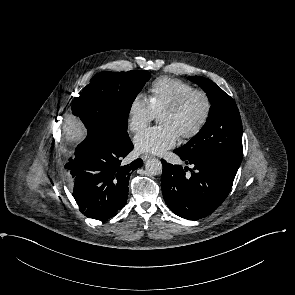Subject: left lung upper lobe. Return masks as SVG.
<instances>
[{
    "instance_id": "1",
    "label": "left lung upper lobe",
    "mask_w": 295,
    "mask_h": 295,
    "mask_svg": "<svg viewBox=\"0 0 295 295\" xmlns=\"http://www.w3.org/2000/svg\"><path fill=\"white\" fill-rule=\"evenodd\" d=\"M211 102L205 125L187 144L176 149L183 156L219 159L238 170L242 156V122L234 100L211 80L194 76Z\"/></svg>"
}]
</instances>
